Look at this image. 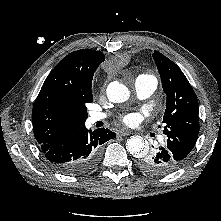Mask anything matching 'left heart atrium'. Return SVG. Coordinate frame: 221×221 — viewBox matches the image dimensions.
Listing matches in <instances>:
<instances>
[{
    "label": "left heart atrium",
    "mask_w": 221,
    "mask_h": 221,
    "mask_svg": "<svg viewBox=\"0 0 221 221\" xmlns=\"http://www.w3.org/2000/svg\"><path fill=\"white\" fill-rule=\"evenodd\" d=\"M136 115L135 114H128L123 117V122L127 125H132L136 122Z\"/></svg>",
    "instance_id": "left-heart-atrium-1"
}]
</instances>
